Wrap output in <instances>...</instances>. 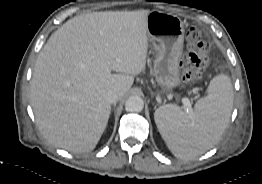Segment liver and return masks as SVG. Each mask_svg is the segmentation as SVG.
Here are the masks:
<instances>
[{"mask_svg": "<svg viewBox=\"0 0 262 184\" xmlns=\"http://www.w3.org/2000/svg\"><path fill=\"white\" fill-rule=\"evenodd\" d=\"M149 13H88L50 36L30 86L36 123L50 143L73 153L96 147L111 114L106 93L116 90L122 98L145 70Z\"/></svg>", "mask_w": 262, "mask_h": 184, "instance_id": "liver-1", "label": "liver"}]
</instances>
